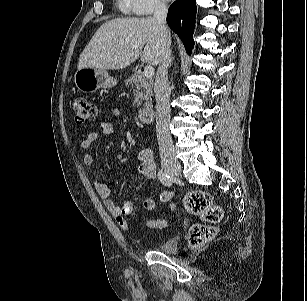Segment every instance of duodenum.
Wrapping results in <instances>:
<instances>
[{
    "mask_svg": "<svg viewBox=\"0 0 307 301\" xmlns=\"http://www.w3.org/2000/svg\"><path fill=\"white\" fill-rule=\"evenodd\" d=\"M154 117V108L152 105L143 106L139 111V121L142 124H150Z\"/></svg>",
    "mask_w": 307,
    "mask_h": 301,
    "instance_id": "1",
    "label": "duodenum"
}]
</instances>
